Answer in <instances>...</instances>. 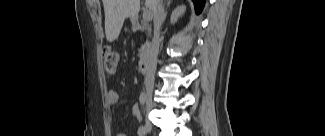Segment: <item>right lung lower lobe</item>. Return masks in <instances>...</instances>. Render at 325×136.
I'll return each instance as SVG.
<instances>
[{"instance_id": "obj_1", "label": "right lung lower lobe", "mask_w": 325, "mask_h": 136, "mask_svg": "<svg viewBox=\"0 0 325 136\" xmlns=\"http://www.w3.org/2000/svg\"><path fill=\"white\" fill-rule=\"evenodd\" d=\"M192 1L194 2L196 12L201 13L205 4V0H192Z\"/></svg>"}]
</instances>
